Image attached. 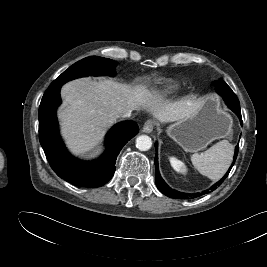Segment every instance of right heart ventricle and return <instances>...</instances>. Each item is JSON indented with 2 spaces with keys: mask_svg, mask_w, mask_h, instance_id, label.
Here are the masks:
<instances>
[{
  "mask_svg": "<svg viewBox=\"0 0 267 267\" xmlns=\"http://www.w3.org/2000/svg\"><path fill=\"white\" fill-rule=\"evenodd\" d=\"M174 88H175L174 85L166 84V85L161 86V87L158 89V92H160V93H169V92L172 91Z\"/></svg>",
  "mask_w": 267,
  "mask_h": 267,
  "instance_id": "obj_1",
  "label": "right heart ventricle"
}]
</instances>
